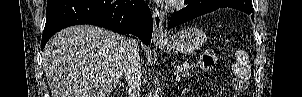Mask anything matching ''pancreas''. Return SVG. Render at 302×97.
Wrapping results in <instances>:
<instances>
[{"instance_id":"obj_1","label":"pancreas","mask_w":302,"mask_h":97,"mask_svg":"<svg viewBox=\"0 0 302 97\" xmlns=\"http://www.w3.org/2000/svg\"><path fill=\"white\" fill-rule=\"evenodd\" d=\"M195 67L194 63L183 62L178 65V72L182 73L183 76H189Z\"/></svg>"}]
</instances>
